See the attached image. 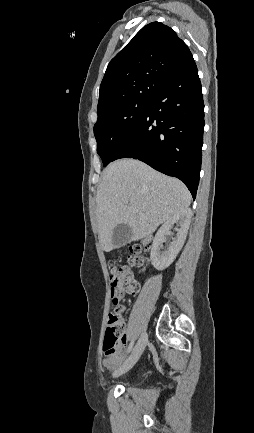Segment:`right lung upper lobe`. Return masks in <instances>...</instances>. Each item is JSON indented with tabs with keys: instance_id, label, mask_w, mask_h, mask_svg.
Here are the masks:
<instances>
[{
	"instance_id": "right-lung-upper-lobe-1",
	"label": "right lung upper lobe",
	"mask_w": 254,
	"mask_h": 433,
	"mask_svg": "<svg viewBox=\"0 0 254 433\" xmlns=\"http://www.w3.org/2000/svg\"><path fill=\"white\" fill-rule=\"evenodd\" d=\"M193 56L174 30L160 22L144 26L110 61L97 111L130 99H152Z\"/></svg>"
}]
</instances>
